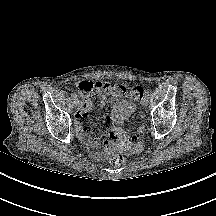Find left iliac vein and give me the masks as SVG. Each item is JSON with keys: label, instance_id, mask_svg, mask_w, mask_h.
<instances>
[{"label": "left iliac vein", "instance_id": "obj_1", "mask_svg": "<svg viewBox=\"0 0 216 216\" xmlns=\"http://www.w3.org/2000/svg\"><path fill=\"white\" fill-rule=\"evenodd\" d=\"M148 102H149L148 97H145V98L143 99V101H142V105H143V106H147V105H148Z\"/></svg>", "mask_w": 216, "mask_h": 216}]
</instances>
